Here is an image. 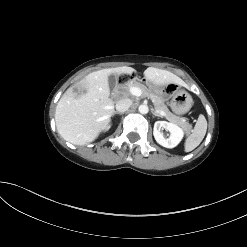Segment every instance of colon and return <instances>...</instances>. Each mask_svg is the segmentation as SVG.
Listing matches in <instances>:
<instances>
[{"label": "colon", "instance_id": "obj_1", "mask_svg": "<svg viewBox=\"0 0 247 247\" xmlns=\"http://www.w3.org/2000/svg\"><path fill=\"white\" fill-rule=\"evenodd\" d=\"M126 80H127V76H126V75H122V76H120V78H119V81H120L121 83L125 82Z\"/></svg>", "mask_w": 247, "mask_h": 247}]
</instances>
